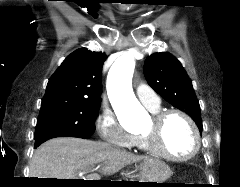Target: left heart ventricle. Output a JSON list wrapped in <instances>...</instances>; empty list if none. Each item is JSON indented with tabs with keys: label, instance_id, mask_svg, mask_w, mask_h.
I'll return each instance as SVG.
<instances>
[{
	"label": "left heart ventricle",
	"instance_id": "b2bd125f",
	"mask_svg": "<svg viewBox=\"0 0 240 187\" xmlns=\"http://www.w3.org/2000/svg\"><path fill=\"white\" fill-rule=\"evenodd\" d=\"M155 130L153 120L147 121L140 133H151ZM157 132V143L160 149L170 154L183 156L189 153L194 145L192 132L185 120L178 115L165 119Z\"/></svg>",
	"mask_w": 240,
	"mask_h": 187
}]
</instances>
